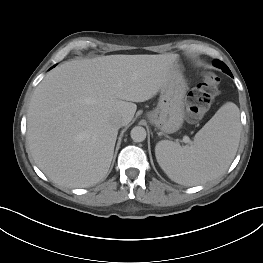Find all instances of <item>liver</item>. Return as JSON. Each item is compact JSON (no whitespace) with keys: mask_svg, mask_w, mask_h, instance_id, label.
Wrapping results in <instances>:
<instances>
[{"mask_svg":"<svg viewBox=\"0 0 263 263\" xmlns=\"http://www.w3.org/2000/svg\"><path fill=\"white\" fill-rule=\"evenodd\" d=\"M177 54L108 55L72 60L36 87L27 114V142L55 184L89 187L108 173L119 127L180 74ZM123 125V126H124Z\"/></svg>","mask_w":263,"mask_h":263,"instance_id":"obj_1","label":"liver"}]
</instances>
